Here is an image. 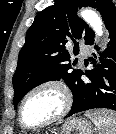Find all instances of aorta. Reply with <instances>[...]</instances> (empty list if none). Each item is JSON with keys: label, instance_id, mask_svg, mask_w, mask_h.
<instances>
[{"label": "aorta", "instance_id": "aorta-1", "mask_svg": "<svg viewBox=\"0 0 116 134\" xmlns=\"http://www.w3.org/2000/svg\"><path fill=\"white\" fill-rule=\"evenodd\" d=\"M81 16L88 24H90L98 36L103 34L102 20L94 11L86 9L81 12Z\"/></svg>", "mask_w": 116, "mask_h": 134}]
</instances>
